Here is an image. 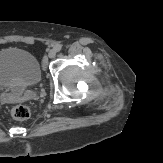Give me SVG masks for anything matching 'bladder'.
<instances>
[{
	"label": "bladder",
	"instance_id": "31cf9c89",
	"mask_svg": "<svg viewBox=\"0 0 163 163\" xmlns=\"http://www.w3.org/2000/svg\"><path fill=\"white\" fill-rule=\"evenodd\" d=\"M41 78L37 58L18 48L0 50V86L23 91L36 85Z\"/></svg>",
	"mask_w": 163,
	"mask_h": 163
}]
</instances>
